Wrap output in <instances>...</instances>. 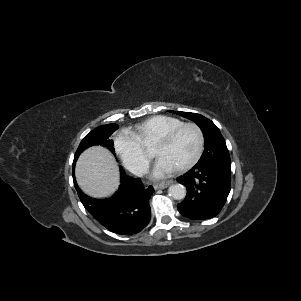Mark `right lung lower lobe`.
<instances>
[{
    "label": "right lung lower lobe",
    "mask_w": 301,
    "mask_h": 301,
    "mask_svg": "<svg viewBox=\"0 0 301 301\" xmlns=\"http://www.w3.org/2000/svg\"><path fill=\"white\" fill-rule=\"evenodd\" d=\"M121 185L108 199H94L82 193L75 183L85 209L106 229L118 235H133L142 231L151 219L149 199L152 186H143L139 178L125 175L121 168Z\"/></svg>",
    "instance_id": "98d812e1"
}]
</instances>
